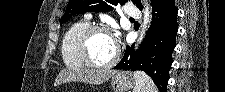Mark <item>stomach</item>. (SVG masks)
Returning <instances> with one entry per match:
<instances>
[{
    "label": "stomach",
    "instance_id": "stomach-1",
    "mask_svg": "<svg viewBox=\"0 0 225 92\" xmlns=\"http://www.w3.org/2000/svg\"><path fill=\"white\" fill-rule=\"evenodd\" d=\"M134 85V74L129 71L116 72L111 80L114 92H128Z\"/></svg>",
    "mask_w": 225,
    "mask_h": 92
}]
</instances>
